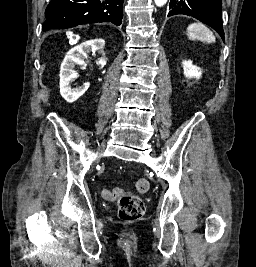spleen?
Instances as JSON below:
<instances>
[{
    "label": "spleen",
    "mask_w": 256,
    "mask_h": 267,
    "mask_svg": "<svg viewBox=\"0 0 256 267\" xmlns=\"http://www.w3.org/2000/svg\"><path fill=\"white\" fill-rule=\"evenodd\" d=\"M187 36L189 40H199V42H204V44H215L216 38L204 24H190L187 28Z\"/></svg>",
    "instance_id": "3e777b00"
}]
</instances>
